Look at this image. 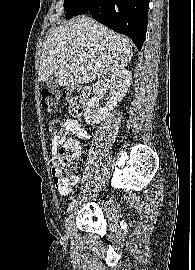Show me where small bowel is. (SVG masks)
Returning <instances> with one entry per match:
<instances>
[{
  "label": "small bowel",
  "mask_w": 195,
  "mask_h": 270,
  "mask_svg": "<svg viewBox=\"0 0 195 270\" xmlns=\"http://www.w3.org/2000/svg\"><path fill=\"white\" fill-rule=\"evenodd\" d=\"M65 131L64 134L61 136H55L50 142V150L51 153L54 155L56 154L60 145H62L68 135H75L77 138L85 140L89 138V133L86 129H84L77 120L73 118H68L64 122ZM68 193V192H67Z\"/></svg>",
  "instance_id": "small-bowel-1"
}]
</instances>
